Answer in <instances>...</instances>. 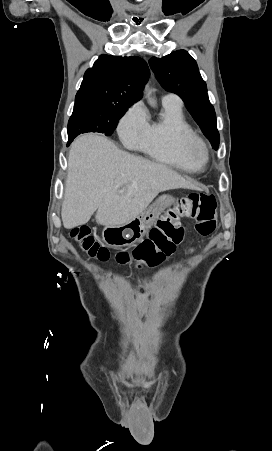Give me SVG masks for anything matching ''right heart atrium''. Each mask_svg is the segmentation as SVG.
<instances>
[{"label": "right heart atrium", "mask_w": 272, "mask_h": 451, "mask_svg": "<svg viewBox=\"0 0 272 451\" xmlns=\"http://www.w3.org/2000/svg\"><path fill=\"white\" fill-rule=\"evenodd\" d=\"M148 127L147 115L140 103L132 106L120 121L118 132L123 142L136 145Z\"/></svg>", "instance_id": "1"}]
</instances>
